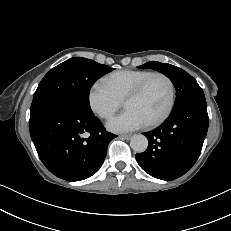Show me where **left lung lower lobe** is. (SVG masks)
<instances>
[{
    "label": "left lung lower lobe",
    "mask_w": 231,
    "mask_h": 231,
    "mask_svg": "<svg viewBox=\"0 0 231 231\" xmlns=\"http://www.w3.org/2000/svg\"><path fill=\"white\" fill-rule=\"evenodd\" d=\"M209 118L203 90L186 94L165 123L144 133L148 148L135 155L139 166L161 180H174L197 161L207 134Z\"/></svg>",
    "instance_id": "obj_1"
}]
</instances>
